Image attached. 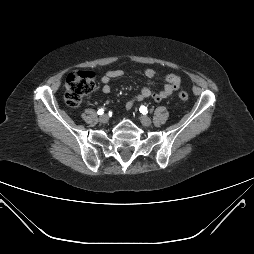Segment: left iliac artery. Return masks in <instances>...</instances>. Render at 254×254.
I'll return each instance as SVG.
<instances>
[{"label": "left iliac artery", "instance_id": "44dca946", "mask_svg": "<svg viewBox=\"0 0 254 254\" xmlns=\"http://www.w3.org/2000/svg\"><path fill=\"white\" fill-rule=\"evenodd\" d=\"M139 111H140L142 114H147V113H148V109H147V107H145V106H141V107L139 108Z\"/></svg>", "mask_w": 254, "mask_h": 254}]
</instances>
